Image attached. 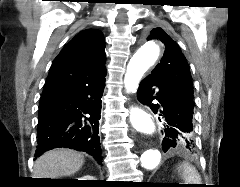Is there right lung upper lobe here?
Masks as SVG:
<instances>
[{
    "label": "right lung upper lobe",
    "mask_w": 240,
    "mask_h": 187,
    "mask_svg": "<svg viewBox=\"0 0 240 187\" xmlns=\"http://www.w3.org/2000/svg\"><path fill=\"white\" fill-rule=\"evenodd\" d=\"M104 49L100 31L86 29L78 33L54 59L42 95L105 75Z\"/></svg>",
    "instance_id": "right-lung-upper-lobe-1"
}]
</instances>
